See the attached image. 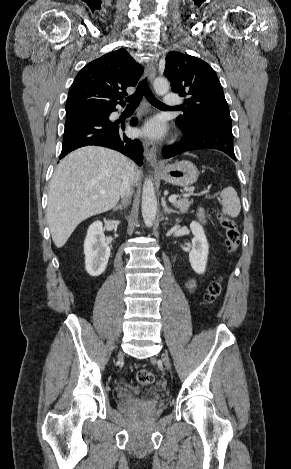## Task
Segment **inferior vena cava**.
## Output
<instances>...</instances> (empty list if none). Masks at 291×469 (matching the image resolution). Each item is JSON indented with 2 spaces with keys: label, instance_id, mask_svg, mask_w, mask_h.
<instances>
[{
  "label": "inferior vena cava",
  "instance_id": "602c4592",
  "mask_svg": "<svg viewBox=\"0 0 291 469\" xmlns=\"http://www.w3.org/2000/svg\"><path fill=\"white\" fill-rule=\"evenodd\" d=\"M135 164L133 162H129L127 166V172L123 178L121 187H120V195L123 199V202L129 201L132 192L133 186L135 184Z\"/></svg>",
  "mask_w": 291,
  "mask_h": 469
}]
</instances>
